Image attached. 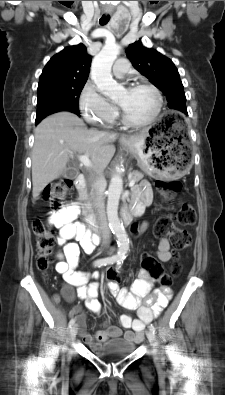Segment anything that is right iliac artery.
Masks as SVG:
<instances>
[{"label": "right iliac artery", "mask_w": 225, "mask_h": 395, "mask_svg": "<svg viewBox=\"0 0 225 395\" xmlns=\"http://www.w3.org/2000/svg\"><path fill=\"white\" fill-rule=\"evenodd\" d=\"M118 259L119 258L117 256L98 259V260L94 261L93 265L95 267L106 266V265L113 264V263L117 262ZM74 323H75V319H71L69 322V327L71 328L74 325Z\"/></svg>", "instance_id": "82829eb1"}]
</instances>
